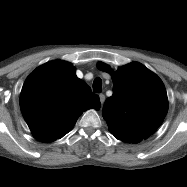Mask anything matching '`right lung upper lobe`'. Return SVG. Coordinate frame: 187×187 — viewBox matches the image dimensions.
<instances>
[{
	"instance_id": "cb5924a9",
	"label": "right lung upper lobe",
	"mask_w": 187,
	"mask_h": 187,
	"mask_svg": "<svg viewBox=\"0 0 187 187\" xmlns=\"http://www.w3.org/2000/svg\"><path fill=\"white\" fill-rule=\"evenodd\" d=\"M75 72L71 63L56 60L36 68L26 79L20 108L37 140L63 137L84 111L100 108L98 95Z\"/></svg>"
}]
</instances>
